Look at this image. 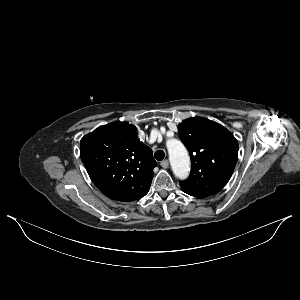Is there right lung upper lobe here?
Listing matches in <instances>:
<instances>
[{"instance_id": "cb5924a9", "label": "right lung upper lobe", "mask_w": 300, "mask_h": 300, "mask_svg": "<svg viewBox=\"0 0 300 300\" xmlns=\"http://www.w3.org/2000/svg\"><path fill=\"white\" fill-rule=\"evenodd\" d=\"M80 156L98 189L108 198L135 201L148 193L156 161L151 148L127 122L98 127L81 139Z\"/></svg>"}]
</instances>
